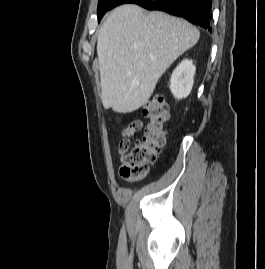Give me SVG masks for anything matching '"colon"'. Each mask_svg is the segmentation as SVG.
<instances>
[{
	"label": "colon",
	"mask_w": 265,
	"mask_h": 269,
	"mask_svg": "<svg viewBox=\"0 0 265 269\" xmlns=\"http://www.w3.org/2000/svg\"><path fill=\"white\" fill-rule=\"evenodd\" d=\"M143 113L148 119V124L141 139L133 144L131 142L142 128L139 120L128 122L122 129L119 150L123 154V165L120 168V176L128 182H137L147 176L149 167L156 161L168 131L170 114L163 97L153 96L143 107Z\"/></svg>",
	"instance_id": "colon-1"
}]
</instances>
